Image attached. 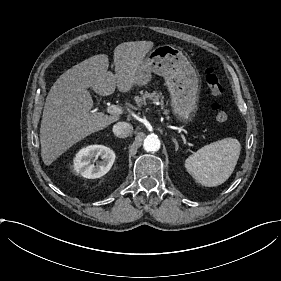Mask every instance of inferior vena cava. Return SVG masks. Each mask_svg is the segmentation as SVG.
<instances>
[{"label": "inferior vena cava", "mask_w": 281, "mask_h": 281, "mask_svg": "<svg viewBox=\"0 0 281 281\" xmlns=\"http://www.w3.org/2000/svg\"><path fill=\"white\" fill-rule=\"evenodd\" d=\"M133 132V126L126 122H119L114 125L113 133L115 136L120 138H126Z\"/></svg>", "instance_id": "obj_1"}]
</instances>
